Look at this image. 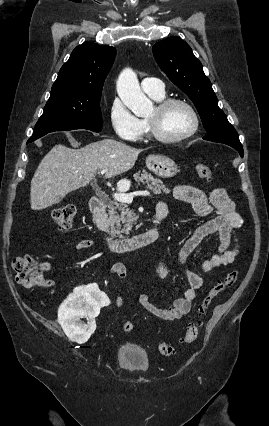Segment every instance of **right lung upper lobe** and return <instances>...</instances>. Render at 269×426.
<instances>
[{
	"label": "right lung upper lobe",
	"mask_w": 269,
	"mask_h": 426,
	"mask_svg": "<svg viewBox=\"0 0 269 426\" xmlns=\"http://www.w3.org/2000/svg\"><path fill=\"white\" fill-rule=\"evenodd\" d=\"M116 49L85 42L76 47L61 67L51 94L101 95L103 83L113 65Z\"/></svg>",
	"instance_id": "obj_1"
}]
</instances>
